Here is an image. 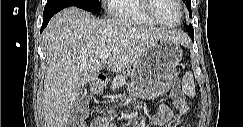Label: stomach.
<instances>
[{"mask_svg":"<svg viewBox=\"0 0 243 127\" xmlns=\"http://www.w3.org/2000/svg\"><path fill=\"white\" fill-rule=\"evenodd\" d=\"M182 55V49L177 43L156 41L133 65L131 93L152 99L167 92L177 78V66Z\"/></svg>","mask_w":243,"mask_h":127,"instance_id":"1","label":"stomach"}]
</instances>
